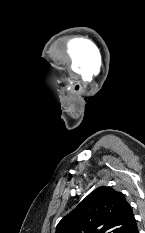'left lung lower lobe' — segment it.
Masks as SVG:
<instances>
[{"label": "left lung lower lobe", "instance_id": "1", "mask_svg": "<svg viewBox=\"0 0 145 233\" xmlns=\"http://www.w3.org/2000/svg\"><path fill=\"white\" fill-rule=\"evenodd\" d=\"M130 233H139L137 225H135V227L132 229Z\"/></svg>", "mask_w": 145, "mask_h": 233}]
</instances>
